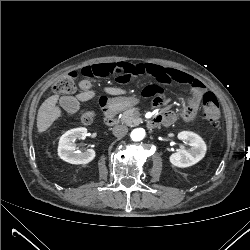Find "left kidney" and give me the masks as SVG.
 Returning a JSON list of instances; mask_svg holds the SVG:
<instances>
[{
    "label": "left kidney",
    "mask_w": 250,
    "mask_h": 250,
    "mask_svg": "<svg viewBox=\"0 0 250 250\" xmlns=\"http://www.w3.org/2000/svg\"><path fill=\"white\" fill-rule=\"evenodd\" d=\"M178 139L188 141L190 148L188 150L181 149L173 153L169 157L172 165L179 168H185L198 163L204 158L207 147L199 135L190 131H182L178 134Z\"/></svg>",
    "instance_id": "5707ae66"
}]
</instances>
